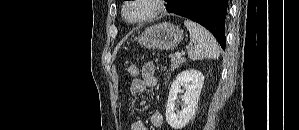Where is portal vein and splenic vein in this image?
I'll list each match as a JSON object with an SVG mask.
<instances>
[{
  "instance_id": "portal-vein-and-splenic-vein-1",
  "label": "portal vein and splenic vein",
  "mask_w": 299,
  "mask_h": 130,
  "mask_svg": "<svg viewBox=\"0 0 299 130\" xmlns=\"http://www.w3.org/2000/svg\"><path fill=\"white\" fill-rule=\"evenodd\" d=\"M181 53L180 52H177L176 53V56L180 57Z\"/></svg>"
}]
</instances>
